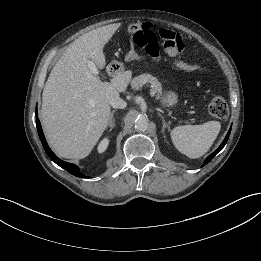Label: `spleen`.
<instances>
[{
    "mask_svg": "<svg viewBox=\"0 0 261 261\" xmlns=\"http://www.w3.org/2000/svg\"><path fill=\"white\" fill-rule=\"evenodd\" d=\"M220 129L221 124L218 121H208L202 125L178 126L171 131V139L178 151L195 159L208 152Z\"/></svg>",
    "mask_w": 261,
    "mask_h": 261,
    "instance_id": "1",
    "label": "spleen"
}]
</instances>
